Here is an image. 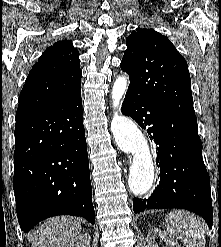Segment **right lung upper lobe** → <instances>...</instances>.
<instances>
[{
	"mask_svg": "<svg viewBox=\"0 0 221 247\" xmlns=\"http://www.w3.org/2000/svg\"><path fill=\"white\" fill-rule=\"evenodd\" d=\"M78 50L69 40L47 48L32 67L20 93L17 114L64 102L81 92Z\"/></svg>",
	"mask_w": 221,
	"mask_h": 247,
	"instance_id": "1",
	"label": "right lung upper lobe"
}]
</instances>
